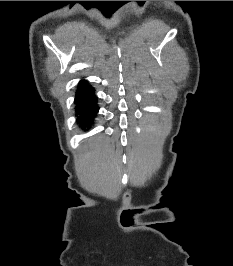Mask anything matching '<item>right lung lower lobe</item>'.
Masks as SVG:
<instances>
[{
  "mask_svg": "<svg viewBox=\"0 0 233 266\" xmlns=\"http://www.w3.org/2000/svg\"><path fill=\"white\" fill-rule=\"evenodd\" d=\"M93 92L94 90L84 80L80 81L76 91V105L77 114L79 115L77 122L82 129L93 123V119L98 112L97 99Z\"/></svg>",
  "mask_w": 233,
  "mask_h": 266,
  "instance_id": "98d812e1",
  "label": "right lung lower lobe"
}]
</instances>
